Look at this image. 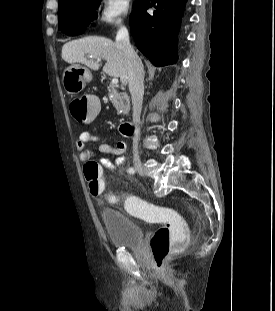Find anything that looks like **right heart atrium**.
I'll return each mask as SVG.
<instances>
[{"mask_svg": "<svg viewBox=\"0 0 275 311\" xmlns=\"http://www.w3.org/2000/svg\"><path fill=\"white\" fill-rule=\"evenodd\" d=\"M128 9L129 0H102L97 21L107 27L122 26Z\"/></svg>", "mask_w": 275, "mask_h": 311, "instance_id": "right-heart-atrium-1", "label": "right heart atrium"}]
</instances>
